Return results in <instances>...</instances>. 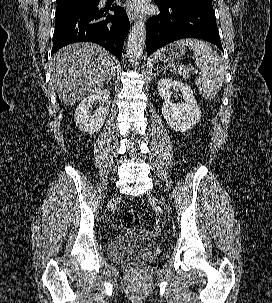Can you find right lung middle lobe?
Wrapping results in <instances>:
<instances>
[{
	"instance_id": "right-lung-middle-lobe-1",
	"label": "right lung middle lobe",
	"mask_w": 272,
	"mask_h": 303,
	"mask_svg": "<svg viewBox=\"0 0 272 303\" xmlns=\"http://www.w3.org/2000/svg\"><path fill=\"white\" fill-rule=\"evenodd\" d=\"M97 1L98 0H78L57 4L56 16L66 14L71 11L92 7L97 3Z\"/></svg>"
}]
</instances>
